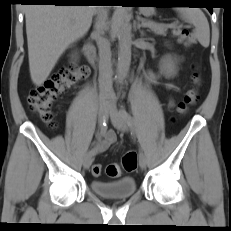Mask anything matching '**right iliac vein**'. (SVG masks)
I'll list each match as a JSON object with an SVG mask.
<instances>
[{
  "instance_id": "obj_1",
  "label": "right iliac vein",
  "mask_w": 231,
  "mask_h": 231,
  "mask_svg": "<svg viewBox=\"0 0 231 231\" xmlns=\"http://www.w3.org/2000/svg\"><path fill=\"white\" fill-rule=\"evenodd\" d=\"M109 111V107L107 105V96L102 95L100 100V106H99V122L101 123L104 117L107 115ZM93 161V156L87 153L83 158V167L85 169H89Z\"/></svg>"
}]
</instances>
